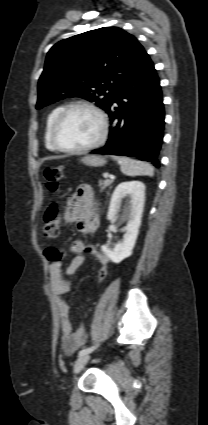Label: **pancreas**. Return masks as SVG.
<instances>
[{
    "instance_id": "cf45deb5",
    "label": "pancreas",
    "mask_w": 208,
    "mask_h": 425,
    "mask_svg": "<svg viewBox=\"0 0 208 425\" xmlns=\"http://www.w3.org/2000/svg\"><path fill=\"white\" fill-rule=\"evenodd\" d=\"M112 184V180H103L99 181L100 191H103L106 187Z\"/></svg>"
}]
</instances>
